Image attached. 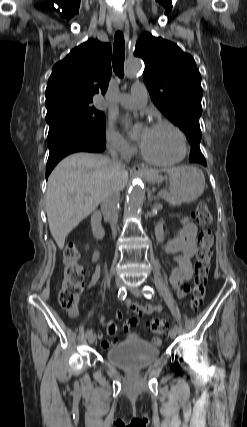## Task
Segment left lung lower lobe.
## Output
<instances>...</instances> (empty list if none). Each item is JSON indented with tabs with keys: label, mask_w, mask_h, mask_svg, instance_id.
<instances>
[{
	"label": "left lung lower lobe",
	"mask_w": 247,
	"mask_h": 427,
	"mask_svg": "<svg viewBox=\"0 0 247 427\" xmlns=\"http://www.w3.org/2000/svg\"><path fill=\"white\" fill-rule=\"evenodd\" d=\"M189 160L190 162H196V163H201L203 165H206V160L203 154L201 153V150L197 147H192Z\"/></svg>",
	"instance_id": "1"
}]
</instances>
